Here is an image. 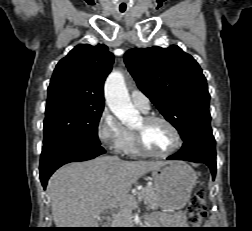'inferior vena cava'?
Segmentation results:
<instances>
[{
	"instance_id": "602c4592",
	"label": "inferior vena cava",
	"mask_w": 252,
	"mask_h": 231,
	"mask_svg": "<svg viewBox=\"0 0 252 231\" xmlns=\"http://www.w3.org/2000/svg\"><path fill=\"white\" fill-rule=\"evenodd\" d=\"M112 159L115 160V161H119L118 156H114V157H112Z\"/></svg>"
}]
</instances>
